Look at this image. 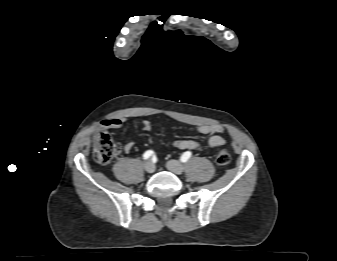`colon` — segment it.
Wrapping results in <instances>:
<instances>
[{
  "label": "colon",
  "instance_id": "obj_1",
  "mask_svg": "<svg viewBox=\"0 0 337 261\" xmlns=\"http://www.w3.org/2000/svg\"><path fill=\"white\" fill-rule=\"evenodd\" d=\"M117 151L116 145L111 136L104 131H98L93 139V158L99 164L109 163ZM230 153L222 149L216 155V163L225 166L230 163Z\"/></svg>",
  "mask_w": 337,
  "mask_h": 261
}]
</instances>
